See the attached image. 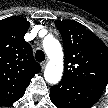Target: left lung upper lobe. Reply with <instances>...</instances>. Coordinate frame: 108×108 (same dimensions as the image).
<instances>
[{
	"label": "left lung upper lobe",
	"mask_w": 108,
	"mask_h": 108,
	"mask_svg": "<svg viewBox=\"0 0 108 108\" xmlns=\"http://www.w3.org/2000/svg\"><path fill=\"white\" fill-rule=\"evenodd\" d=\"M55 25L63 39L65 58L62 79L107 86V46L76 21H55Z\"/></svg>",
	"instance_id": "1"
}]
</instances>
